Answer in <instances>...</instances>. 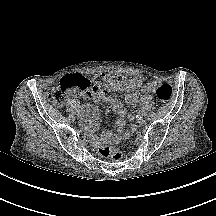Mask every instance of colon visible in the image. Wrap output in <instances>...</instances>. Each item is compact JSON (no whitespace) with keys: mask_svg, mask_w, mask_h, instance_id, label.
<instances>
[{"mask_svg":"<svg viewBox=\"0 0 216 216\" xmlns=\"http://www.w3.org/2000/svg\"><path fill=\"white\" fill-rule=\"evenodd\" d=\"M101 83L102 80L100 77H97L95 84L92 85L90 80L82 75H67L60 80L57 87L47 94V99L52 105L62 107L69 98L82 92L89 93ZM155 94L161 101L168 102L173 96V89L168 84L157 83ZM98 153L103 157L111 158L113 161H120L123 157L121 150L111 145L99 146Z\"/></svg>","mask_w":216,"mask_h":216,"instance_id":"1","label":"colon"}]
</instances>
